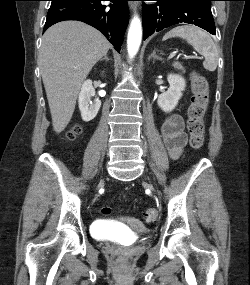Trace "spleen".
Here are the masks:
<instances>
[{
	"label": "spleen",
	"mask_w": 250,
	"mask_h": 285,
	"mask_svg": "<svg viewBox=\"0 0 250 285\" xmlns=\"http://www.w3.org/2000/svg\"><path fill=\"white\" fill-rule=\"evenodd\" d=\"M181 38L190 44L195 51L205 57L203 67L207 71H215L218 65V49L211 36L195 26H178L167 32L163 41L170 38Z\"/></svg>",
	"instance_id": "3e777b00"
}]
</instances>
